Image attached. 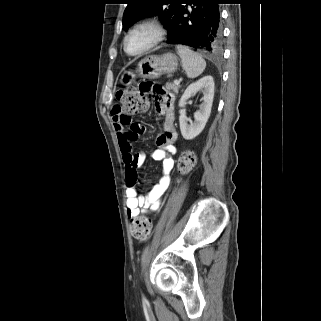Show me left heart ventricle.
Instances as JSON below:
<instances>
[{"instance_id": "obj_1", "label": "left heart ventricle", "mask_w": 321, "mask_h": 321, "mask_svg": "<svg viewBox=\"0 0 321 321\" xmlns=\"http://www.w3.org/2000/svg\"><path fill=\"white\" fill-rule=\"evenodd\" d=\"M152 39V33L148 29H139L130 35L127 41V49L135 53L143 49Z\"/></svg>"}]
</instances>
